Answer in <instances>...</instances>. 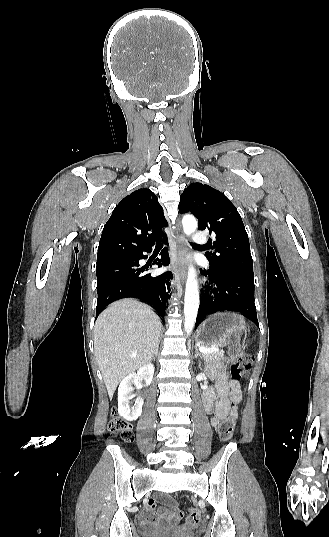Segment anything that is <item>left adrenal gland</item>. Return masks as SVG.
<instances>
[{"instance_id": "left-adrenal-gland-1", "label": "left adrenal gland", "mask_w": 329, "mask_h": 537, "mask_svg": "<svg viewBox=\"0 0 329 537\" xmlns=\"http://www.w3.org/2000/svg\"><path fill=\"white\" fill-rule=\"evenodd\" d=\"M195 351H196L195 357H197L198 355H201L197 346H195Z\"/></svg>"}]
</instances>
